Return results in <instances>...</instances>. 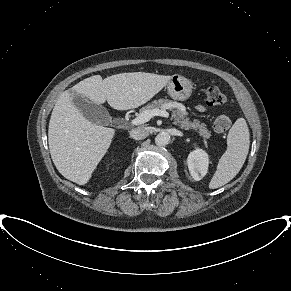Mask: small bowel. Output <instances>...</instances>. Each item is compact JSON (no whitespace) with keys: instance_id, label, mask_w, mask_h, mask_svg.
<instances>
[{"instance_id":"1","label":"small bowel","mask_w":291,"mask_h":291,"mask_svg":"<svg viewBox=\"0 0 291 291\" xmlns=\"http://www.w3.org/2000/svg\"><path fill=\"white\" fill-rule=\"evenodd\" d=\"M197 109L200 111V112H204L206 109L203 105H198L197 106Z\"/></svg>"}]
</instances>
